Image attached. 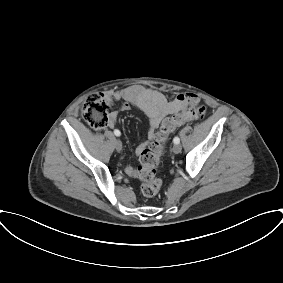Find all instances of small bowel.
Masks as SVG:
<instances>
[{
    "label": "small bowel",
    "mask_w": 283,
    "mask_h": 283,
    "mask_svg": "<svg viewBox=\"0 0 283 283\" xmlns=\"http://www.w3.org/2000/svg\"><path fill=\"white\" fill-rule=\"evenodd\" d=\"M104 96L109 103L123 102L119 109L111 112L108 122V127L111 129L116 126L119 111L127 110L131 106L138 108L147 116L149 122L148 139L136 148L137 154H140L154 140L155 131L166 116L181 110L190 102L199 101V98L193 93H181L173 100H168L161 92L142 86H131L115 92L108 91ZM125 172L131 177L136 175V170L131 165L125 168Z\"/></svg>",
    "instance_id": "obj_1"
}]
</instances>
